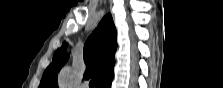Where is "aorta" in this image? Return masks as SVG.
Returning <instances> with one entry per match:
<instances>
[{"mask_svg": "<svg viewBox=\"0 0 223 88\" xmlns=\"http://www.w3.org/2000/svg\"><path fill=\"white\" fill-rule=\"evenodd\" d=\"M69 79V69L64 68L59 77L60 86L66 87Z\"/></svg>", "mask_w": 223, "mask_h": 88, "instance_id": "1", "label": "aorta"}]
</instances>
